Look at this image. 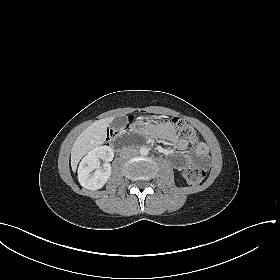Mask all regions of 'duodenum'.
Returning a JSON list of instances; mask_svg holds the SVG:
<instances>
[{
    "mask_svg": "<svg viewBox=\"0 0 280 280\" xmlns=\"http://www.w3.org/2000/svg\"><path fill=\"white\" fill-rule=\"evenodd\" d=\"M113 146L116 148V149H121L122 148V143L120 142L119 139H117L114 143H113Z\"/></svg>",
    "mask_w": 280,
    "mask_h": 280,
    "instance_id": "1",
    "label": "duodenum"
}]
</instances>
